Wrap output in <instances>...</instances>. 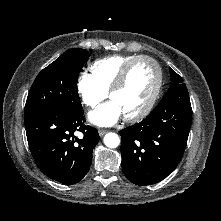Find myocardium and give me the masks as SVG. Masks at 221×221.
I'll return each mask as SVG.
<instances>
[{
  "label": "myocardium",
  "mask_w": 221,
  "mask_h": 221,
  "mask_svg": "<svg viewBox=\"0 0 221 221\" xmlns=\"http://www.w3.org/2000/svg\"><path fill=\"white\" fill-rule=\"evenodd\" d=\"M139 61H148L153 64V66L156 69L157 73V80L156 85L153 90V93L151 97L149 98L148 102L145 104V106L136 114L130 115V116H124V119L128 122H137L145 118L153 109L163 86V71L159 64V62L154 59L151 56L148 55H138L137 57L133 58L131 61H129L120 71L119 75L117 76L115 82L111 86L110 90L108 91V97L110 98L111 95L117 91H119L124 84L126 83V80L128 78V75L133 68V66L139 62Z\"/></svg>",
  "instance_id": "obj_1"
}]
</instances>
